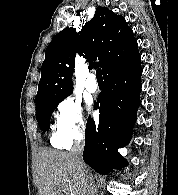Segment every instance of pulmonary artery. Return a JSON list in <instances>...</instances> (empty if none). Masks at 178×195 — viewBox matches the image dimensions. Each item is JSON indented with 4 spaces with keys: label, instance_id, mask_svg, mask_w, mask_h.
<instances>
[{
    "label": "pulmonary artery",
    "instance_id": "pulmonary-artery-1",
    "mask_svg": "<svg viewBox=\"0 0 178 195\" xmlns=\"http://www.w3.org/2000/svg\"><path fill=\"white\" fill-rule=\"evenodd\" d=\"M86 90L90 93H95L98 90V84L96 80V75L91 73L86 80Z\"/></svg>",
    "mask_w": 178,
    "mask_h": 195
}]
</instances>
